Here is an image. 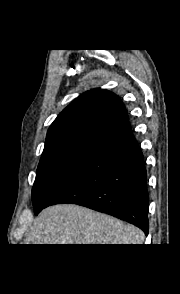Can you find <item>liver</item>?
I'll return each mask as SVG.
<instances>
[{
  "label": "liver",
  "instance_id": "1",
  "mask_svg": "<svg viewBox=\"0 0 180 294\" xmlns=\"http://www.w3.org/2000/svg\"><path fill=\"white\" fill-rule=\"evenodd\" d=\"M144 233L114 217L77 205H55L34 220L25 244H143Z\"/></svg>",
  "mask_w": 180,
  "mask_h": 294
}]
</instances>
